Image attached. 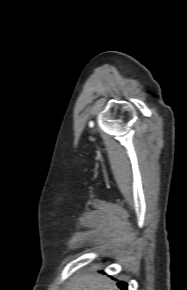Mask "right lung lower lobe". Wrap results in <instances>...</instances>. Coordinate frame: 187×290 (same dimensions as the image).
Instances as JSON below:
<instances>
[{
	"mask_svg": "<svg viewBox=\"0 0 187 290\" xmlns=\"http://www.w3.org/2000/svg\"><path fill=\"white\" fill-rule=\"evenodd\" d=\"M119 287L122 288L123 290H127V284L124 282H120Z\"/></svg>",
	"mask_w": 187,
	"mask_h": 290,
	"instance_id": "obj_1",
	"label": "right lung lower lobe"
}]
</instances>
